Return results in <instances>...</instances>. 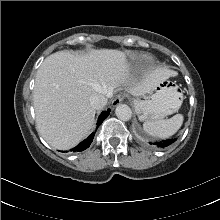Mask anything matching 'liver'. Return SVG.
Returning <instances> with one entry per match:
<instances>
[{
    "label": "liver",
    "instance_id": "1",
    "mask_svg": "<svg viewBox=\"0 0 220 220\" xmlns=\"http://www.w3.org/2000/svg\"><path fill=\"white\" fill-rule=\"evenodd\" d=\"M172 71L157 68L145 74L142 84L130 87L133 95H143L159 82L172 77ZM130 77L127 54L115 49L91 50L79 55L58 51L39 67L33 91L36 125L41 136L60 150L82 141L92 129L95 109L90 97L112 92Z\"/></svg>",
    "mask_w": 220,
    "mask_h": 220
}]
</instances>
